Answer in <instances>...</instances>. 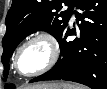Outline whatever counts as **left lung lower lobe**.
Listing matches in <instances>:
<instances>
[{
	"label": "left lung lower lobe",
	"instance_id": "left-lung-lower-lobe-1",
	"mask_svg": "<svg viewBox=\"0 0 107 89\" xmlns=\"http://www.w3.org/2000/svg\"><path fill=\"white\" fill-rule=\"evenodd\" d=\"M75 12L80 36L73 41L66 38L75 34L67 25L58 39L61 54L55 66L31 82L68 80L106 89L107 86V0H81Z\"/></svg>",
	"mask_w": 107,
	"mask_h": 89
}]
</instances>
